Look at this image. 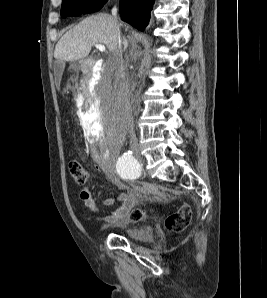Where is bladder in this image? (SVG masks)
I'll return each instance as SVG.
<instances>
[{
	"mask_svg": "<svg viewBox=\"0 0 267 298\" xmlns=\"http://www.w3.org/2000/svg\"><path fill=\"white\" fill-rule=\"evenodd\" d=\"M123 234L130 239L137 241H150L153 239L151 227L142 226L138 228H125Z\"/></svg>",
	"mask_w": 267,
	"mask_h": 298,
	"instance_id": "31cf9c89",
	"label": "bladder"
}]
</instances>
